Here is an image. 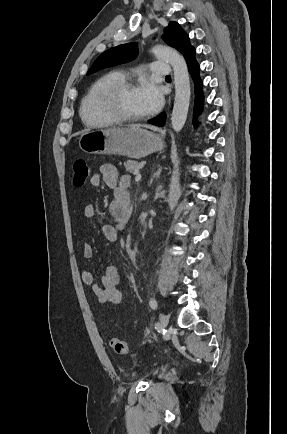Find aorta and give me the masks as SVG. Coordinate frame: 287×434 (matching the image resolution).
Wrapping results in <instances>:
<instances>
[{"mask_svg": "<svg viewBox=\"0 0 287 434\" xmlns=\"http://www.w3.org/2000/svg\"><path fill=\"white\" fill-rule=\"evenodd\" d=\"M154 55L168 62L174 72L175 100L171 116V125L175 132H180L185 125L191 89L189 73L185 59L174 49L157 45L152 49Z\"/></svg>", "mask_w": 287, "mask_h": 434, "instance_id": "1", "label": "aorta"}]
</instances>
